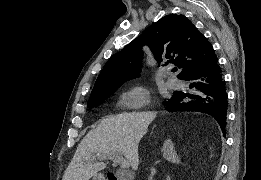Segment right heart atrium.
Listing matches in <instances>:
<instances>
[{
	"instance_id": "right-heart-atrium-1",
	"label": "right heart atrium",
	"mask_w": 261,
	"mask_h": 180,
	"mask_svg": "<svg viewBox=\"0 0 261 180\" xmlns=\"http://www.w3.org/2000/svg\"><path fill=\"white\" fill-rule=\"evenodd\" d=\"M118 102L122 108H148L152 103V96L148 89L135 86L121 94Z\"/></svg>"
}]
</instances>
